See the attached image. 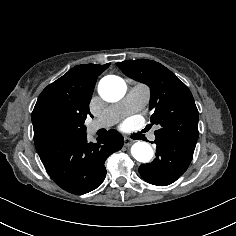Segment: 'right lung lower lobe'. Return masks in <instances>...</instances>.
<instances>
[{
	"label": "right lung lower lobe",
	"mask_w": 236,
	"mask_h": 236,
	"mask_svg": "<svg viewBox=\"0 0 236 236\" xmlns=\"http://www.w3.org/2000/svg\"><path fill=\"white\" fill-rule=\"evenodd\" d=\"M97 140V143H89L85 132L36 145V149L48 174L62 189L85 194L103 182L105 160L124 143L116 130H110Z\"/></svg>",
	"instance_id": "right-lung-lower-lobe-1"
}]
</instances>
